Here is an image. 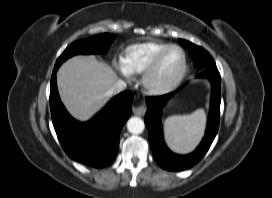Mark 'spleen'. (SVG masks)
<instances>
[{
    "label": "spleen",
    "mask_w": 272,
    "mask_h": 198,
    "mask_svg": "<svg viewBox=\"0 0 272 198\" xmlns=\"http://www.w3.org/2000/svg\"><path fill=\"white\" fill-rule=\"evenodd\" d=\"M205 127L206 114L203 109L189 115L170 116L164 123L167 144L177 153H189L201 141Z\"/></svg>",
    "instance_id": "spleen-1"
}]
</instances>
